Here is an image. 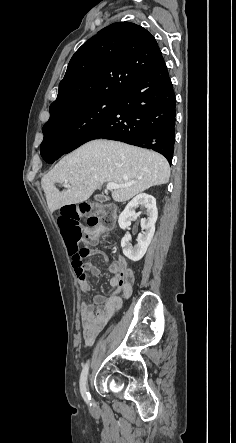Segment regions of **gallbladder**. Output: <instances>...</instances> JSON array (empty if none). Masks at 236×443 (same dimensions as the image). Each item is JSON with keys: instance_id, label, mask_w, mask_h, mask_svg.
I'll return each instance as SVG.
<instances>
[{"instance_id": "1", "label": "gallbladder", "mask_w": 236, "mask_h": 443, "mask_svg": "<svg viewBox=\"0 0 236 443\" xmlns=\"http://www.w3.org/2000/svg\"><path fill=\"white\" fill-rule=\"evenodd\" d=\"M106 199H107L106 196L101 195V194H98V195L95 196V200H96V201H99V202H103V201H105Z\"/></svg>"}]
</instances>
